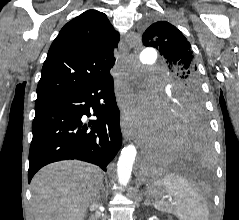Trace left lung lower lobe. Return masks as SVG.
I'll use <instances>...</instances> for the list:
<instances>
[{"instance_id": "obj_1", "label": "left lung lower lobe", "mask_w": 239, "mask_h": 220, "mask_svg": "<svg viewBox=\"0 0 239 220\" xmlns=\"http://www.w3.org/2000/svg\"><path fill=\"white\" fill-rule=\"evenodd\" d=\"M161 129V142L143 162L145 171L197 163L211 156V142L203 111L193 109L179 112L167 107L163 112Z\"/></svg>"}]
</instances>
